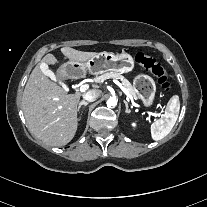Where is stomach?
<instances>
[{"instance_id": "stomach-1", "label": "stomach", "mask_w": 207, "mask_h": 207, "mask_svg": "<svg viewBox=\"0 0 207 207\" xmlns=\"http://www.w3.org/2000/svg\"><path fill=\"white\" fill-rule=\"evenodd\" d=\"M142 59L144 56L132 48H122L105 57L106 62L111 63L112 68L109 70L113 78L121 81V88L126 95L124 100L126 112L130 114H134L135 101L139 100L146 108L152 107L155 101L156 85L154 79L147 74H133L135 64L142 65ZM124 75L132 78V83ZM156 77L159 79L162 76L156 75ZM125 80L128 82L126 83ZM159 84L161 86V83Z\"/></svg>"}]
</instances>
